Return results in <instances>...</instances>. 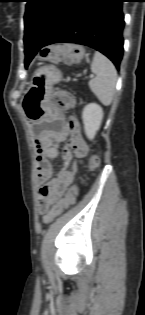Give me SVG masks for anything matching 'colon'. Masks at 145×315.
<instances>
[{
  "mask_svg": "<svg viewBox=\"0 0 145 315\" xmlns=\"http://www.w3.org/2000/svg\"><path fill=\"white\" fill-rule=\"evenodd\" d=\"M83 56V50L74 45H58L44 48L40 53V58L53 63L76 62ZM54 104L61 109H69L73 105L72 95L62 89H57L53 93ZM99 157L93 154L89 160V170H94L99 165ZM76 188H72L61 200H59L47 215L48 222L64 213V211L75 202Z\"/></svg>",
  "mask_w": 145,
  "mask_h": 315,
  "instance_id": "5ec220e1",
  "label": "colon"
}]
</instances>
